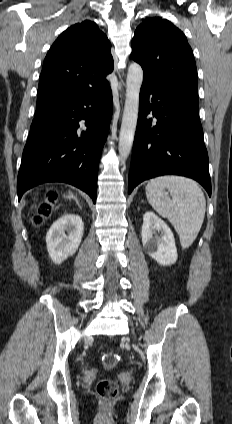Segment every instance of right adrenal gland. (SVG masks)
I'll use <instances>...</instances> for the list:
<instances>
[{
  "mask_svg": "<svg viewBox=\"0 0 232 424\" xmlns=\"http://www.w3.org/2000/svg\"><path fill=\"white\" fill-rule=\"evenodd\" d=\"M75 202H76V204L78 205V207H79L80 209H82V207H81V205H80V203H79L78 199H75Z\"/></svg>",
  "mask_w": 232,
  "mask_h": 424,
  "instance_id": "obj_1",
  "label": "right adrenal gland"
}]
</instances>
